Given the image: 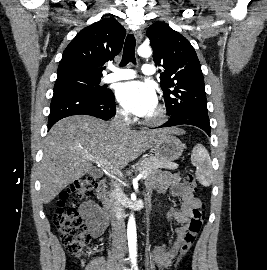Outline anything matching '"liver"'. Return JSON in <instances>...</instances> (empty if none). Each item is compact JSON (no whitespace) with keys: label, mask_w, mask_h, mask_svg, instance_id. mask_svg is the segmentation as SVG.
I'll return each instance as SVG.
<instances>
[{"label":"liver","mask_w":267,"mask_h":270,"mask_svg":"<svg viewBox=\"0 0 267 270\" xmlns=\"http://www.w3.org/2000/svg\"><path fill=\"white\" fill-rule=\"evenodd\" d=\"M176 128L136 132L118 130L111 122L74 115L58 121L45 140L40 164L41 194L50 203L73 181L91 170L89 157L107 161L115 169L126 167Z\"/></svg>","instance_id":"6515ba94"}]
</instances>
